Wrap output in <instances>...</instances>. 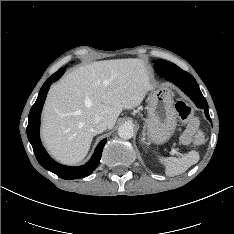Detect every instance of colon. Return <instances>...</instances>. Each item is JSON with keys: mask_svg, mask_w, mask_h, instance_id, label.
Wrapping results in <instances>:
<instances>
[{"mask_svg": "<svg viewBox=\"0 0 234 234\" xmlns=\"http://www.w3.org/2000/svg\"><path fill=\"white\" fill-rule=\"evenodd\" d=\"M176 112L180 120L195 132L193 143L195 146H202L205 143V136L201 131L197 130L198 121L193 115L191 106L183 99H178L175 104Z\"/></svg>", "mask_w": 234, "mask_h": 234, "instance_id": "obj_1", "label": "colon"}]
</instances>
